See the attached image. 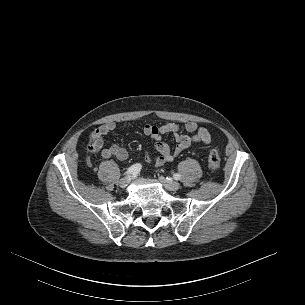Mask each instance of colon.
I'll return each instance as SVG.
<instances>
[{"label": "colon", "mask_w": 305, "mask_h": 305, "mask_svg": "<svg viewBox=\"0 0 305 305\" xmlns=\"http://www.w3.org/2000/svg\"><path fill=\"white\" fill-rule=\"evenodd\" d=\"M102 146L101 140L97 134L92 135L89 143V150L95 152ZM220 166V156L216 149H211L208 156V167L211 172H216Z\"/></svg>", "instance_id": "5ec220e1"}]
</instances>
